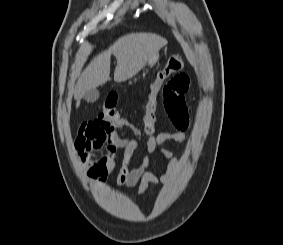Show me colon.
Masks as SVG:
<instances>
[{
    "instance_id": "5ec220e1",
    "label": "colon",
    "mask_w": 283,
    "mask_h": 245,
    "mask_svg": "<svg viewBox=\"0 0 283 245\" xmlns=\"http://www.w3.org/2000/svg\"><path fill=\"white\" fill-rule=\"evenodd\" d=\"M184 67V59L179 55H174L169 58L164 68L157 73L155 79L150 83L143 121L144 133L151 134L154 130L156 109L163 84L169 79L170 76L182 71ZM116 105L117 95L115 93H110L101 106L98 118L112 125L113 127H116L117 129L134 130L133 126L125 118H123L116 109Z\"/></svg>"
}]
</instances>
